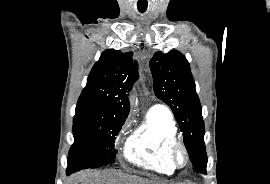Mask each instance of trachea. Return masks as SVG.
<instances>
[{"label":"trachea","mask_w":270,"mask_h":184,"mask_svg":"<svg viewBox=\"0 0 270 184\" xmlns=\"http://www.w3.org/2000/svg\"><path fill=\"white\" fill-rule=\"evenodd\" d=\"M141 13L145 12V10H139Z\"/></svg>","instance_id":"trachea-1"}]
</instances>
